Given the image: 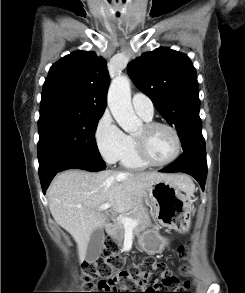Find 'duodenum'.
Returning <instances> with one entry per match:
<instances>
[{"mask_svg": "<svg viewBox=\"0 0 245 293\" xmlns=\"http://www.w3.org/2000/svg\"><path fill=\"white\" fill-rule=\"evenodd\" d=\"M106 233H107L108 235H113V234H114V229H113V226H112L111 224H108V225L106 226Z\"/></svg>", "mask_w": 245, "mask_h": 293, "instance_id": "1", "label": "duodenum"}]
</instances>
